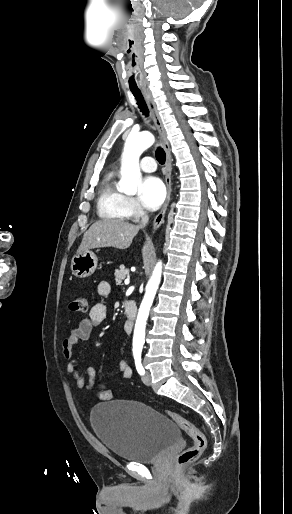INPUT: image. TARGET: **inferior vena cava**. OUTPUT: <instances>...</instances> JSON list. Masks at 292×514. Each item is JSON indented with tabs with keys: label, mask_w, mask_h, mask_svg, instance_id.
<instances>
[{
	"label": "inferior vena cava",
	"mask_w": 292,
	"mask_h": 514,
	"mask_svg": "<svg viewBox=\"0 0 292 514\" xmlns=\"http://www.w3.org/2000/svg\"><path fill=\"white\" fill-rule=\"evenodd\" d=\"M148 222H149V218H148L146 212H143L141 224H148Z\"/></svg>",
	"instance_id": "obj_1"
}]
</instances>
